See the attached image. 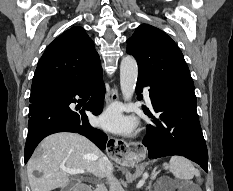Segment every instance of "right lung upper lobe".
<instances>
[{
    "instance_id": "obj_1",
    "label": "right lung upper lobe",
    "mask_w": 233,
    "mask_h": 191,
    "mask_svg": "<svg viewBox=\"0 0 233 191\" xmlns=\"http://www.w3.org/2000/svg\"><path fill=\"white\" fill-rule=\"evenodd\" d=\"M101 70L100 58L91 38L82 27H72L47 47L37 65L32 88L76 85Z\"/></svg>"
}]
</instances>
